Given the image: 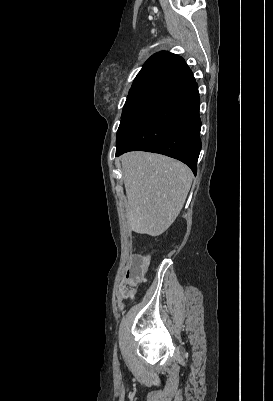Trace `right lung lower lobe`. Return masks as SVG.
I'll use <instances>...</instances> for the list:
<instances>
[{
    "instance_id": "1",
    "label": "right lung lower lobe",
    "mask_w": 273,
    "mask_h": 401,
    "mask_svg": "<svg viewBox=\"0 0 273 401\" xmlns=\"http://www.w3.org/2000/svg\"><path fill=\"white\" fill-rule=\"evenodd\" d=\"M199 104L194 81L147 117L116 149V156L134 150L160 153L184 162L196 174L201 150Z\"/></svg>"
}]
</instances>
